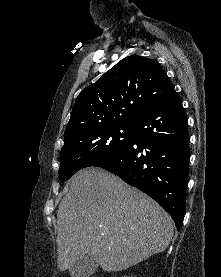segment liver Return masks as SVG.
Returning a JSON list of instances; mask_svg holds the SVG:
<instances>
[{"mask_svg":"<svg viewBox=\"0 0 221 277\" xmlns=\"http://www.w3.org/2000/svg\"><path fill=\"white\" fill-rule=\"evenodd\" d=\"M57 213L58 267L85 255L116 272L166 250L173 220L149 196L101 168L77 172Z\"/></svg>","mask_w":221,"mask_h":277,"instance_id":"obj_1","label":"liver"}]
</instances>
